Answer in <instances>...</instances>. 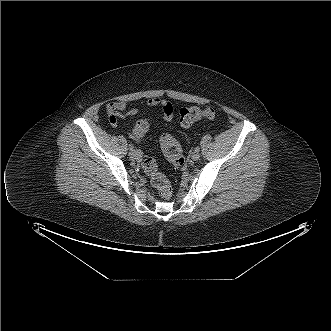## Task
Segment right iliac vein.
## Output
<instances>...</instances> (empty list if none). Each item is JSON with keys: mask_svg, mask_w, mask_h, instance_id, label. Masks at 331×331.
Here are the masks:
<instances>
[{"mask_svg": "<svg viewBox=\"0 0 331 331\" xmlns=\"http://www.w3.org/2000/svg\"><path fill=\"white\" fill-rule=\"evenodd\" d=\"M129 156L132 159H138L139 156H140V153L138 151L132 149V150L129 151Z\"/></svg>", "mask_w": 331, "mask_h": 331, "instance_id": "right-iliac-vein-1", "label": "right iliac vein"}]
</instances>
